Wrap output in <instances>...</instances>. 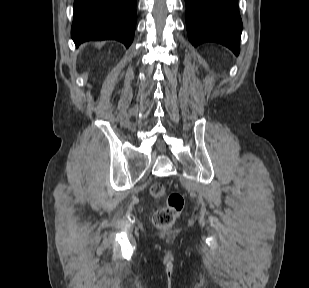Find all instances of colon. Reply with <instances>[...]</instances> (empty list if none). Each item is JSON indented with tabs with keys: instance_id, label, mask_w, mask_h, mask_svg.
I'll return each mask as SVG.
<instances>
[{
	"instance_id": "colon-1",
	"label": "colon",
	"mask_w": 309,
	"mask_h": 288,
	"mask_svg": "<svg viewBox=\"0 0 309 288\" xmlns=\"http://www.w3.org/2000/svg\"><path fill=\"white\" fill-rule=\"evenodd\" d=\"M154 199H166V205L159 208L153 215V223L160 229L171 227L184 208L185 200L181 193H167L162 183H154L150 188Z\"/></svg>"
}]
</instances>
